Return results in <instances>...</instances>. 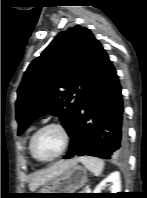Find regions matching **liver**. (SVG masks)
I'll use <instances>...</instances> for the list:
<instances>
[{
  "mask_svg": "<svg viewBox=\"0 0 147 198\" xmlns=\"http://www.w3.org/2000/svg\"><path fill=\"white\" fill-rule=\"evenodd\" d=\"M76 164L77 159L63 160L56 162L46 170L36 172L29 183V189L35 191L39 186L48 183Z\"/></svg>",
  "mask_w": 147,
  "mask_h": 198,
  "instance_id": "6515ba94",
  "label": "liver"
}]
</instances>
